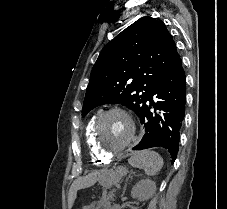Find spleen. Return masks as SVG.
Segmentation results:
<instances>
[{
  "instance_id": "3e777b00",
  "label": "spleen",
  "mask_w": 227,
  "mask_h": 209,
  "mask_svg": "<svg viewBox=\"0 0 227 209\" xmlns=\"http://www.w3.org/2000/svg\"><path fill=\"white\" fill-rule=\"evenodd\" d=\"M128 163L136 169H143L149 177L157 175L164 165L162 157L155 151H139L128 159Z\"/></svg>"
}]
</instances>
